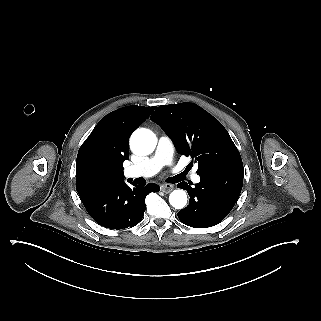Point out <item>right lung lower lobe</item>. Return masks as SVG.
<instances>
[{"label": "right lung lower lobe", "instance_id": "right-lung-lower-lobe-1", "mask_svg": "<svg viewBox=\"0 0 321 321\" xmlns=\"http://www.w3.org/2000/svg\"><path fill=\"white\" fill-rule=\"evenodd\" d=\"M134 186L130 188L123 183L113 187L93 188L79 193V196L89 215L101 226L117 230L131 228L143 218L145 197L150 192L160 190L154 183L146 187Z\"/></svg>", "mask_w": 321, "mask_h": 321}]
</instances>
